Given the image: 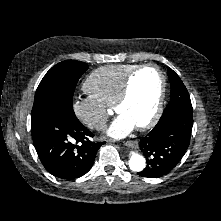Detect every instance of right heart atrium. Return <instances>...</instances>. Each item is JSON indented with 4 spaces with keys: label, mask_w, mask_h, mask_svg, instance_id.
I'll return each mask as SVG.
<instances>
[{
    "label": "right heart atrium",
    "mask_w": 221,
    "mask_h": 221,
    "mask_svg": "<svg viewBox=\"0 0 221 221\" xmlns=\"http://www.w3.org/2000/svg\"><path fill=\"white\" fill-rule=\"evenodd\" d=\"M72 109L77 119L90 129L101 130L111 110L93 97L79 96L72 102Z\"/></svg>",
    "instance_id": "obj_1"
}]
</instances>
